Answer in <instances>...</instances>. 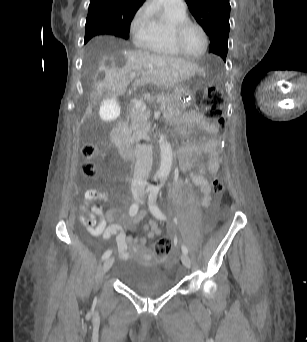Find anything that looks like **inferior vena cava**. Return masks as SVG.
<instances>
[{
    "instance_id": "1",
    "label": "inferior vena cava",
    "mask_w": 307,
    "mask_h": 342,
    "mask_svg": "<svg viewBox=\"0 0 307 342\" xmlns=\"http://www.w3.org/2000/svg\"><path fill=\"white\" fill-rule=\"evenodd\" d=\"M135 154L136 164L134 168L131 190L132 192H143L147 184V178L152 170V148H150V146L143 148L141 144H136Z\"/></svg>"
}]
</instances>
